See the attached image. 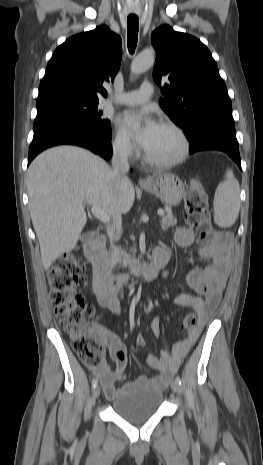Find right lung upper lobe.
Masks as SVG:
<instances>
[{"instance_id":"obj_1","label":"right lung upper lobe","mask_w":263,"mask_h":465,"mask_svg":"<svg viewBox=\"0 0 263 465\" xmlns=\"http://www.w3.org/2000/svg\"><path fill=\"white\" fill-rule=\"evenodd\" d=\"M121 57V38L105 25L70 37L53 53L37 101L58 96L106 97L102 84L113 82Z\"/></svg>"}]
</instances>
